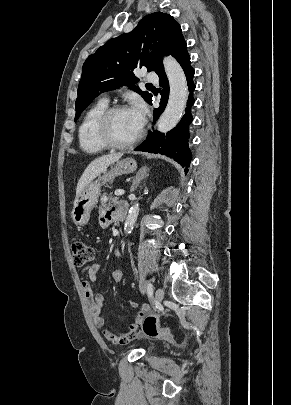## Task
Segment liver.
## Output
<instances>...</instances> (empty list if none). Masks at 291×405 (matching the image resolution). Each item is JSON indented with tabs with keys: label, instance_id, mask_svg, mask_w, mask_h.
Instances as JSON below:
<instances>
[{
	"label": "liver",
	"instance_id": "1",
	"mask_svg": "<svg viewBox=\"0 0 291 405\" xmlns=\"http://www.w3.org/2000/svg\"><path fill=\"white\" fill-rule=\"evenodd\" d=\"M121 157L122 154L118 153L101 156L93 160L85 169L84 173L78 181L76 196H78L91 181H93L98 175L105 171L108 166L118 161Z\"/></svg>",
	"mask_w": 291,
	"mask_h": 405
}]
</instances>
